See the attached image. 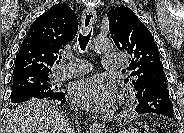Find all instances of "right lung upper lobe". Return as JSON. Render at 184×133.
<instances>
[{"instance_id":"right-lung-upper-lobe-1","label":"right lung upper lobe","mask_w":184,"mask_h":133,"mask_svg":"<svg viewBox=\"0 0 184 133\" xmlns=\"http://www.w3.org/2000/svg\"><path fill=\"white\" fill-rule=\"evenodd\" d=\"M78 30L75 12L56 4L35 20L16 56L13 75H49L56 54L71 42Z\"/></svg>"}]
</instances>
